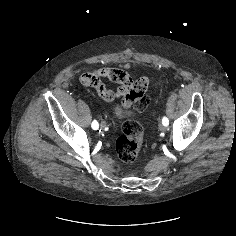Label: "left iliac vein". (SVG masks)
<instances>
[{"label": "left iliac vein", "instance_id": "left-iliac-vein-1", "mask_svg": "<svg viewBox=\"0 0 236 236\" xmlns=\"http://www.w3.org/2000/svg\"><path fill=\"white\" fill-rule=\"evenodd\" d=\"M159 130L160 131H165L166 130V126L163 125V124L159 125Z\"/></svg>", "mask_w": 236, "mask_h": 236}]
</instances>
